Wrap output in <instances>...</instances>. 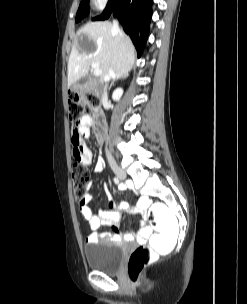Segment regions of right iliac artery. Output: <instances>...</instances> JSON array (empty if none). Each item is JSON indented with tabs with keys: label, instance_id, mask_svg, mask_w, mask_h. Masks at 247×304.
<instances>
[{
	"label": "right iliac artery",
	"instance_id": "82829eb1",
	"mask_svg": "<svg viewBox=\"0 0 247 304\" xmlns=\"http://www.w3.org/2000/svg\"><path fill=\"white\" fill-rule=\"evenodd\" d=\"M114 182H115V184H119V180H118V178H114Z\"/></svg>",
	"mask_w": 247,
	"mask_h": 304
}]
</instances>
